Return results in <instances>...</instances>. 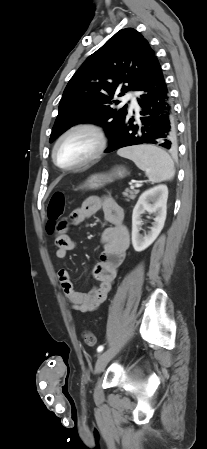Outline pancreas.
I'll return each instance as SVG.
<instances>
[{
    "label": "pancreas",
    "mask_w": 207,
    "mask_h": 449,
    "mask_svg": "<svg viewBox=\"0 0 207 449\" xmlns=\"http://www.w3.org/2000/svg\"><path fill=\"white\" fill-rule=\"evenodd\" d=\"M139 193L138 190H129L126 189L125 192H123V196L127 197V201H129V199H135L136 195Z\"/></svg>",
    "instance_id": "cf45deb5"
}]
</instances>
